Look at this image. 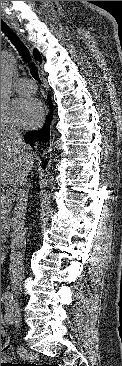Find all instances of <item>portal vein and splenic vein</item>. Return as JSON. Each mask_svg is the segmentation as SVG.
<instances>
[{
    "label": "portal vein and splenic vein",
    "mask_w": 122,
    "mask_h": 366,
    "mask_svg": "<svg viewBox=\"0 0 122 366\" xmlns=\"http://www.w3.org/2000/svg\"><path fill=\"white\" fill-rule=\"evenodd\" d=\"M8 197H9L8 193H6V195L2 194L1 195V201L7 199Z\"/></svg>",
    "instance_id": "18ae733b"
}]
</instances>
